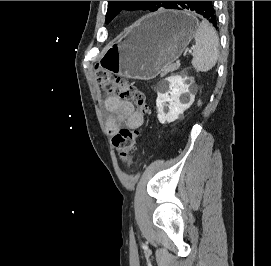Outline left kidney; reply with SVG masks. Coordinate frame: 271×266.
I'll return each mask as SVG.
<instances>
[{
  "label": "left kidney",
  "mask_w": 271,
  "mask_h": 266,
  "mask_svg": "<svg viewBox=\"0 0 271 266\" xmlns=\"http://www.w3.org/2000/svg\"><path fill=\"white\" fill-rule=\"evenodd\" d=\"M185 78L182 76H171L168 78L169 91L166 93H159L156 105L158 112V120L161 124L166 122L170 123L178 119L192 104V95L190 94V84L185 83ZM190 96V101L185 102V98ZM181 97L183 100H181ZM166 102L169 104L166 105ZM165 106L168 107V111L165 112Z\"/></svg>",
  "instance_id": "left-kidney-1"
}]
</instances>
